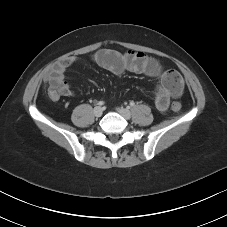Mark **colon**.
<instances>
[{
	"instance_id": "colon-1",
	"label": "colon",
	"mask_w": 227,
	"mask_h": 227,
	"mask_svg": "<svg viewBox=\"0 0 227 227\" xmlns=\"http://www.w3.org/2000/svg\"><path fill=\"white\" fill-rule=\"evenodd\" d=\"M165 78L168 81H174V82H178L181 80L180 75L178 74V72L174 71V70H168L165 72ZM171 109L172 111H174L175 113H180L182 110V105L180 102L178 101H174L171 104Z\"/></svg>"
}]
</instances>
